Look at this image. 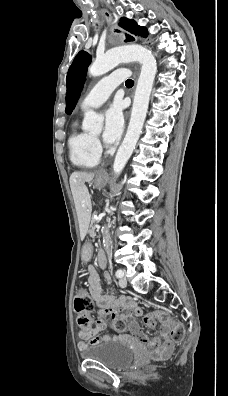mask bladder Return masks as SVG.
<instances>
[{
  "instance_id": "31cf9c89",
  "label": "bladder",
  "mask_w": 228,
  "mask_h": 396,
  "mask_svg": "<svg viewBox=\"0 0 228 396\" xmlns=\"http://www.w3.org/2000/svg\"><path fill=\"white\" fill-rule=\"evenodd\" d=\"M83 359L95 360L111 369L127 368L134 359L130 346L120 340L101 341L86 345L80 351Z\"/></svg>"
}]
</instances>
